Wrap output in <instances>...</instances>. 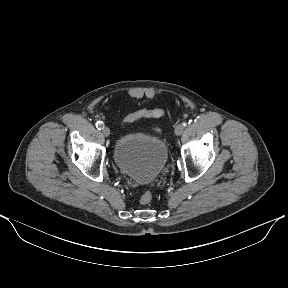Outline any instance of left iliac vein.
I'll list each match as a JSON object with an SVG mask.
<instances>
[{"label": "left iliac vein", "mask_w": 288, "mask_h": 288, "mask_svg": "<svg viewBox=\"0 0 288 288\" xmlns=\"http://www.w3.org/2000/svg\"><path fill=\"white\" fill-rule=\"evenodd\" d=\"M183 131H184V127L182 124H179L176 126V128H175V134L176 135L180 136L183 133Z\"/></svg>", "instance_id": "1"}]
</instances>
